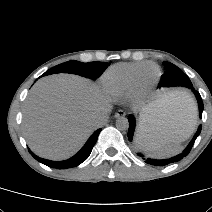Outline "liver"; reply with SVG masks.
Segmentation results:
<instances>
[{
	"label": "liver",
	"instance_id": "6515ba94",
	"mask_svg": "<svg viewBox=\"0 0 212 212\" xmlns=\"http://www.w3.org/2000/svg\"><path fill=\"white\" fill-rule=\"evenodd\" d=\"M110 99L89 80L58 74L39 80L31 89L23 109V134L39 156L63 160L75 154L97 128L94 118L107 114ZM145 128L162 135L186 139L193 131L196 112L176 96L162 95L143 109Z\"/></svg>",
	"mask_w": 212,
	"mask_h": 212
}]
</instances>
